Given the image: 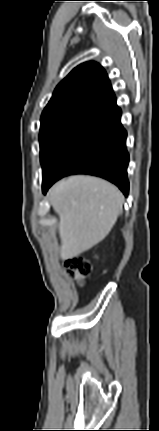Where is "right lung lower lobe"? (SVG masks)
Masks as SVG:
<instances>
[{
  "mask_svg": "<svg viewBox=\"0 0 159 431\" xmlns=\"http://www.w3.org/2000/svg\"><path fill=\"white\" fill-rule=\"evenodd\" d=\"M126 137L118 107L87 121L68 135L49 158L43 169V193L64 176L91 174L114 183L127 196Z\"/></svg>",
  "mask_w": 159,
  "mask_h": 431,
  "instance_id": "98d812e1",
  "label": "right lung lower lobe"
}]
</instances>
